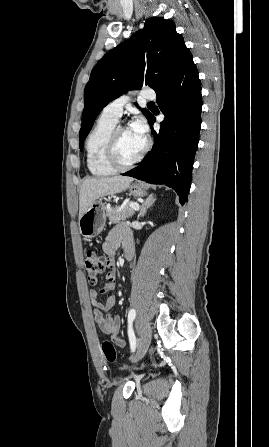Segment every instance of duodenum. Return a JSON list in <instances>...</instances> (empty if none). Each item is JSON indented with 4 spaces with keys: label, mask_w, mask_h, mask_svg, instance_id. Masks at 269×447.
<instances>
[{
    "label": "duodenum",
    "mask_w": 269,
    "mask_h": 447,
    "mask_svg": "<svg viewBox=\"0 0 269 447\" xmlns=\"http://www.w3.org/2000/svg\"><path fill=\"white\" fill-rule=\"evenodd\" d=\"M132 257H133V251L132 250L127 249V250L124 251V258L127 261H130L132 259Z\"/></svg>",
    "instance_id": "1"
}]
</instances>
